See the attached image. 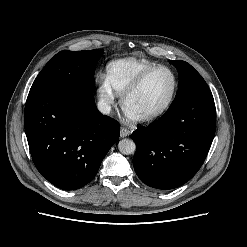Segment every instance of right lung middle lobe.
<instances>
[{"label": "right lung middle lobe", "instance_id": "right-lung-middle-lobe-1", "mask_svg": "<svg viewBox=\"0 0 247 247\" xmlns=\"http://www.w3.org/2000/svg\"><path fill=\"white\" fill-rule=\"evenodd\" d=\"M104 52L100 50L60 51L35 79L29 95L55 90L95 91V67Z\"/></svg>", "mask_w": 247, "mask_h": 247}]
</instances>
